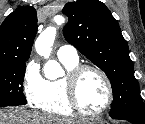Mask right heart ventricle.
I'll list each match as a JSON object with an SVG mask.
<instances>
[{"label":"right heart ventricle","instance_id":"obj_1","mask_svg":"<svg viewBox=\"0 0 145 124\" xmlns=\"http://www.w3.org/2000/svg\"><path fill=\"white\" fill-rule=\"evenodd\" d=\"M60 61L68 72L78 65V60L60 59ZM36 107L55 117H72L75 115L67 97L66 76L44 80L41 99Z\"/></svg>","mask_w":145,"mask_h":124}]
</instances>
